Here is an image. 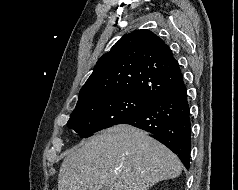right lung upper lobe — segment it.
I'll use <instances>...</instances> for the list:
<instances>
[{
  "instance_id": "obj_1",
  "label": "right lung upper lobe",
  "mask_w": 238,
  "mask_h": 190,
  "mask_svg": "<svg viewBox=\"0 0 238 190\" xmlns=\"http://www.w3.org/2000/svg\"><path fill=\"white\" fill-rule=\"evenodd\" d=\"M182 78L179 64L164 41L149 30H135L99 58L77 104L115 94L153 101Z\"/></svg>"
}]
</instances>
